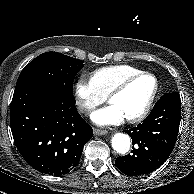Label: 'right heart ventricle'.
Instances as JSON below:
<instances>
[{
  "label": "right heart ventricle",
  "instance_id": "e07e8e85",
  "mask_svg": "<svg viewBox=\"0 0 194 194\" xmlns=\"http://www.w3.org/2000/svg\"><path fill=\"white\" fill-rule=\"evenodd\" d=\"M141 70L130 65L106 66L95 70L90 77L96 91L104 98L126 77Z\"/></svg>",
  "mask_w": 194,
  "mask_h": 194
}]
</instances>
